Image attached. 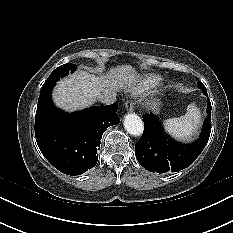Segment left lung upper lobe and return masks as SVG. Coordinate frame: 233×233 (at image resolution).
Returning a JSON list of instances; mask_svg holds the SVG:
<instances>
[{
  "label": "left lung upper lobe",
  "mask_w": 233,
  "mask_h": 233,
  "mask_svg": "<svg viewBox=\"0 0 233 233\" xmlns=\"http://www.w3.org/2000/svg\"><path fill=\"white\" fill-rule=\"evenodd\" d=\"M197 87L202 89V90L205 88V86L200 81H198Z\"/></svg>",
  "instance_id": "obj_1"
}]
</instances>
